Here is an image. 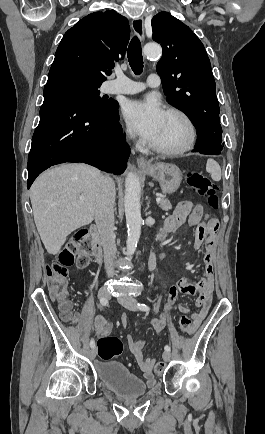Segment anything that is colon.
I'll list each match as a JSON object with an SVG mask.
<instances>
[{"mask_svg":"<svg viewBox=\"0 0 265 434\" xmlns=\"http://www.w3.org/2000/svg\"><path fill=\"white\" fill-rule=\"evenodd\" d=\"M189 187L198 195L205 197L209 206L217 210L220 206L217 186L213 181L199 172H192L188 175ZM78 265L85 267L88 258L84 255L77 257ZM75 262L74 246L67 244L62 248L61 252L46 268L47 285L52 299L62 300L67 294L68 284V267ZM61 306L64 309L70 307L68 302H62ZM64 321L70 320L69 314L63 315ZM180 329L183 333H190L193 330V319H182L180 316ZM98 354L102 361L108 362L114 356H120L123 351V343L117 336H102L97 343ZM164 362L159 360L155 366V373L160 375L164 370Z\"/></svg>","mask_w":265,"mask_h":434,"instance_id":"colon-1","label":"colon"}]
</instances>
